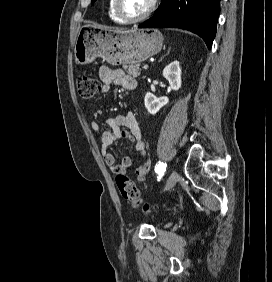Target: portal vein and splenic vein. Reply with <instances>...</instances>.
Instances as JSON below:
<instances>
[{
  "instance_id": "portal-vein-and-splenic-vein-1",
  "label": "portal vein and splenic vein",
  "mask_w": 272,
  "mask_h": 282,
  "mask_svg": "<svg viewBox=\"0 0 272 282\" xmlns=\"http://www.w3.org/2000/svg\"><path fill=\"white\" fill-rule=\"evenodd\" d=\"M143 69H144V70H147V69H148V65H144V66H143Z\"/></svg>"
}]
</instances>
